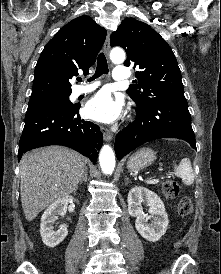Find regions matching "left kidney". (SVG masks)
<instances>
[{
	"mask_svg": "<svg viewBox=\"0 0 221 274\" xmlns=\"http://www.w3.org/2000/svg\"><path fill=\"white\" fill-rule=\"evenodd\" d=\"M128 212L136 217L135 227L138 233L151 242L158 241L167 230L169 223L165 206L159 196L144 187H134L128 194ZM149 206V214H144L141 204ZM148 220L151 223L148 224Z\"/></svg>",
	"mask_w": 221,
	"mask_h": 274,
	"instance_id": "1",
	"label": "left kidney"
}]
</instances>
